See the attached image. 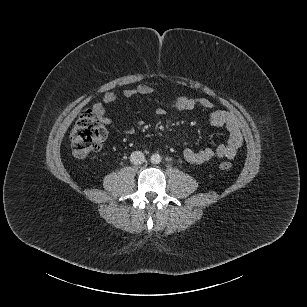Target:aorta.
<instances>
[{
  "label": "aorta",
  "mask_w": 307,
  "mask_h": 307,
  "mask_svg": "<svg viewBox=\"0 0 307 307\" xmlns=\"http://www.w3.org/2000/svg\"><path fill=\"white\" fill-rule=\"evenodd\" d=\"M161 160H162L161 156L157 153L152 154L150 157V161L152 164H159Z\"/></svg>",
  "instance_id": "obj_1"
}]
</instances>
